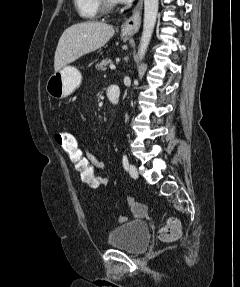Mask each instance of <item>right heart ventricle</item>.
I'll return each mask as SVG.
<instances>
[{"label":"right heart ventricle","mask_w":240,"mask_h":287,"mask_svg":"<svg viewBox=\"0 0 240 287\" xmlns=\"http://www.w3.org/2000/svg\"><path fill=\"white\" fill-rule=\"evenodd\" d=\"M75 7L84 19H96L102 12L99 0H74Z\"/></svg>","instance_id":"e07e8e85"}]
</instances>
